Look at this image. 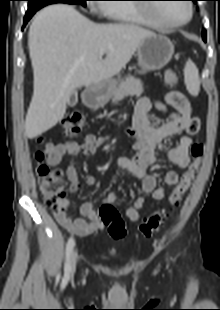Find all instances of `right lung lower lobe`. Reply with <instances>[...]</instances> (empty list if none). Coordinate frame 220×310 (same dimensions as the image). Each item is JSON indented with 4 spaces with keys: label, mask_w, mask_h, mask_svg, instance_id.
I'll list each match as a JSON object with an SVG mask.
<instances>
[{
    "label": "right lung lower lobe",
    "mask_w": 220,
    "mask_h": 310,
    "mask_svg": "<svg viewBox=\"0 0 220 310\" xmlns=\"http://www.w3.org/2000/svg\"><path fill=\"white\" fill-rule=\"evenodd\" d=\"M37 10H32V11H28L26 12V15L24 17V24L23 27H25V25L27 24V22L31 19V17L36 13Z\"/></svg>",
    "instance_id": "obj_1"
}]
</instances>
